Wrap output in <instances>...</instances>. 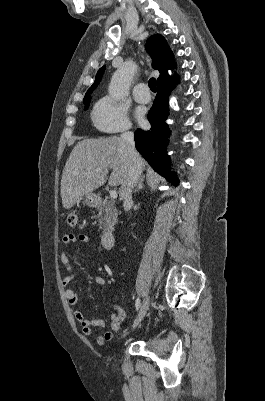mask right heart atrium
Instances as JSON below:
<instances>
[{"label":"right heart atrium","mask_w":265,"mask_h":401,"mask_svg":"<svg viewBox=\"0 0 265 401\" xmlns=\"http://www.w3.org/2000/svg\"><path fill=\"white\" fill-rule=\"evenodd\" d=\"M92 118L96 126L106 133H127L131 128L126 106L110 95L95 104Z\"/></svg>","instance_id":"right-heart-atrium-1"}]
</instances>
